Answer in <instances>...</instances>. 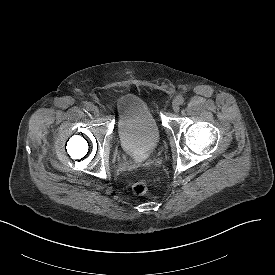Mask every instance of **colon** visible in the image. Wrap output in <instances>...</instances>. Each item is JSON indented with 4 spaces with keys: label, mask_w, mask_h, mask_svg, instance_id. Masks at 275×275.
I'll return each mask as SVG.
<instances>
[{
    "label": "colon",
    "mask_w": 275,
    "mask_h": 275,
    "mask_svg": "<svg viewBox=\"0 0 275 275\" xmlns=\"http://www.w3.org/2000/svg\"><path fill=\"white\" fill-rule=\"evenodd\" d=\"M148 189H149L148 179H140L136 181L132 186L133 193L138 196L145 195L148 192Z\"/></svg>",
    "instance_id": "1"
}]
</instances>
